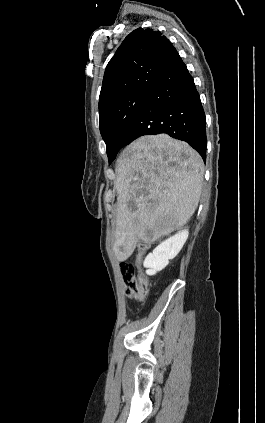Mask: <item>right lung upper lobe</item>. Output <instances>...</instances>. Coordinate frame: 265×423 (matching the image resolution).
Instances as JSON below:
<instances>
[{
	"instance_id": "cb5924a9",
	"label": "right lung upper lobe",
	"mask_w": 265,
	"mask_h": 423,
	"mask_svg": "<svg viewBox=\"0 0 265 423\" xmlns=\"http://www.w3.org/2000/svg\"><path fill=\"white\" fill-rule=\"evenodd\" d=\"M178 55L160 31L131 32L108 63L99 97V113L118 99L151 89Z\"/></svg>"
}]
</instances>
